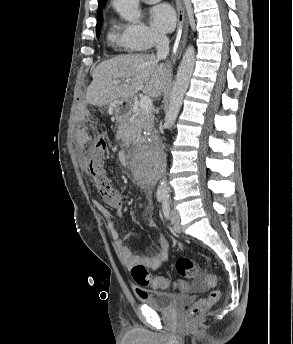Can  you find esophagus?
Masks as SVG:
<instances>
[{"mask_svg":"<svg viewBox=\"0 0 293 344\" xmlns=\"http://www.w3.org/2000/svg\"><path fill=\"white\" fill-rule=\"evenodd\" d=\"M176 5H177V11H178V30L176 34L175 43L173 46V56L177 52L179 41H180V36H181L180 25L181 23H183V21H185V11L181 6L180 0H176Z\"/></svg>","mask_w":293,"mask_h":344,"instance_id":"esophagus-1","label":"esophagus"}]
</instances>
